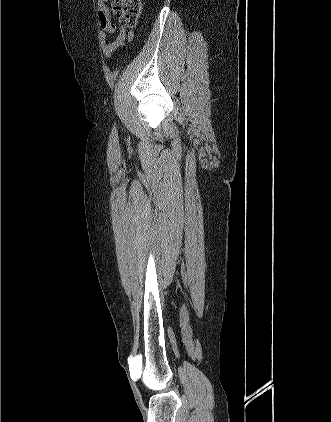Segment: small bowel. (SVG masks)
I'll return each instance as SVG.
<instances>
[{
    "label": "small bowel",
    "mask_w": 331,
    "mask_h": 422,
    "mask_svg": "<svg viewBox=\"0 0 331 422\" xmlns=\"http://www.w3.org/2000/svg\"><path fill=\"white\" fill-rule=\"evenodd\" d=\"M106 3L107 0H98V17L103 30L99 36V42L104 55L109 58L125 44L127 39L131 38L132 34L128 33L123 26L117 28L111 23L110 11ZM114 33H116L115 39L108 41V35Z\"/></svg>",
    "instance_id": "small-bowel-1"
}]
</instances>
